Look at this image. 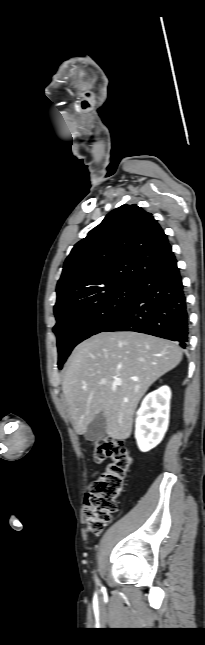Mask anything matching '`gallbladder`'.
Masks as SVG:
<instances>
[{"label":"gallbladder","mask_w":205,"mask_h":645,"mask_svg":"<svg viewBox=\"0 0 205 645\" xmlns=\"http://www.w3.org/2000/svg\"><path fill=\"white\" fill-rule=\"evenodd\" d=\"M106 435V419L103 415H98L87 426L84 437L88 441L98 440Z\"/></svg>","instance_id":"1"}]
</instances>
